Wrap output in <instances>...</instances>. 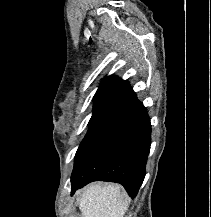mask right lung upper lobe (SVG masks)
<instances>
[{"mask_svg":"<svg viewBox=\"0 0 211 217\" xmlns=\"http://www.w3.org/2000/svg\"><path fill=\"white\" fill-rule=\"evenodd\" d=\"M138 102L127 81L109 76L102 81L94 96L92 118L116 119Z\"/></svg>","mask_w":211,"mask_h":217,"instance_id":"right-lung-upper-lobe-1","label":"right lung upper lobe"}]
</instances>
